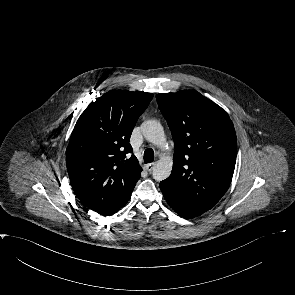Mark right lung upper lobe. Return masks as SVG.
I'll return each mask as SVG.
<instances>
[{"label":"right lung upper lobe","instance_id":"right-lung-upper-lobe-1","mask_svg":"<svg viewBox=\"0 0 295 295\" xmlns=\"http://www.w3.org/2000/svg\"><path fill=\"white\" fill-rule=\"evenodd\" d=\"M152 98L146 92H107L88 105L74 127L66 150L70 182L77 198L101 215L125 205L141 176L129 140Z\"/></svg>","mask_w":295,"mask_h":295}]
</instances>
